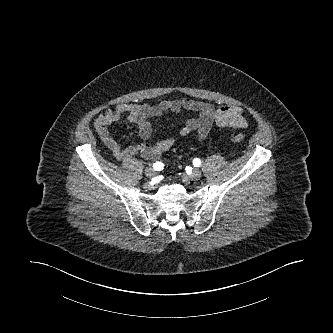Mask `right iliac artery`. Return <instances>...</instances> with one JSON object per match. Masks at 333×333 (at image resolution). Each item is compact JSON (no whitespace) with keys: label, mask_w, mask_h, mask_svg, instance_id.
<instances>
[{"label":"right iliac artery","mask_w":333,"mask_h":333,"mask_svg":"<svg viewBox=\"0 0 333 333\" xmlns=\"http://www.w3.org/2000/svg\"><path fill=\"white\" fill-rule=\"evenodd\" d=\"M153 169L156 171H160L163 169V164L161 162H156L153 164Z\"/></svg>","instance_id":"right-iliac-artery-1"}]
</instances>
